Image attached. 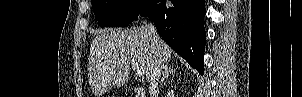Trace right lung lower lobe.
<instances>
[{
    "mask_svg": "<svg viewBox=\"0 0 302 97\" xmlns=\"http://www.w3.org/2000/svg\"><path fill=\"white\" fill-rule=\"evenodd\" d=\"M205 13V0H149L133 22L149 17L165 42L203 74Z\"/></svg>",
    "mask_w": 302,
    "mask_h": 97,
    "instance_id": "98d812e1",
    "label": "right lung lower lobe"
}]
</instances>
